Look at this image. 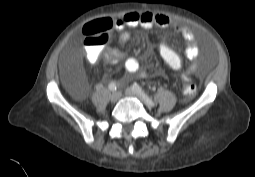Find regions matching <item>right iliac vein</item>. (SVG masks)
Returning a JSON list of instances; mask_svg holds the SVG:
<instances>
[{"mask_svg": "<svg viewBox=\"0 0 255 177\" xmlns=\"http://www.w3.org/2000/svg\"><path fill=\"white\" fill-rule=\"evenodd\" d=\"M121 97V93L120 92H113L112 95L110 96V100L111 102H117Z\"/></svg>", "mask_w": 255, "mask_h": 177, "instance_id": "1", "label": "right iliac vein"}]
</instances>
